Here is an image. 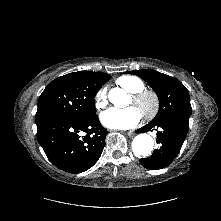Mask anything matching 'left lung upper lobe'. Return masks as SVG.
I'll use <instances>...</instances> for the list:
<instances>
[{
  "label": "left lung upper lobe",
  "instance_id": "obj_1",
  "mask_svg": "<svg viewBox=\"0 0 221 221\" xmlns=\"http://www.w3.org/2000/svg\"><path fill=\"white\" fill-rule=\"evenodd\" d=\"M144 79L156 92L159 112L150 123L160 122L172 116L190 117L192 108L186 87L177 79L151 69L127 71Z\"/></svg>",
  "mask_w": 221,
  "mask_h": 221
}]
</instances>
